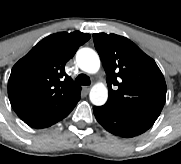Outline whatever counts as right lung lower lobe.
Returning <instances> with one entry per match:
<instances>
[{
	"label": "right lung lower lobe",
	"mask_w": 181,
	"mask_h": 164,
	"mask_svg": "<svg viewBox=\"0 0 181 164\" xmlns=\"http://www.w3.org/2000/svg\"><path fill=\"white\" fill-rule=\"evenodd\" d=\"M72 111V110H71ZM70 111V112H71ZM70 112H68L66 115H64L60 120H62L63 118H65ZM59 121V120H58ZM56 121V122H58ZM56 122H43V121H28L25 122L26 124H28L29 126L33 127V128H45V127H49L53 124H55Z\"/></svg>",
	"instance_id": "98d812e1"
}]
</instances>
